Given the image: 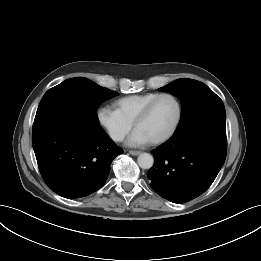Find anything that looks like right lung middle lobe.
I'll return each instance as SVG.
<instances>
[{"instance_id":"1","label":"right lung middle lobe","mask_w":261,"mask_h":261,"mask_svg":"<svg viewBox=\"0 0 261 261\" xmlns=\"http://www.w3.org/2000/svg\"><path fill=\"white\" fill-rule=\"evenodd\" d=\"M117 95L84 77L65 80L49 89L41 99L32 131L58 121L99 127L98 106Z\"/></svg>"}]
</instances>
